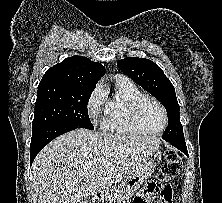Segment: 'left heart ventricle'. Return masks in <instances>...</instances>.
I'll return each instance as SVG.
<instances>
[{
  "instance_id": "b2bd125f",
  "label": "left heart ventricle",
  "mask_w": 222,
  "mask_h": 203,
  "mask_svg": "<svg viewBox=\"0 0 222 203\" xmlns=\"http://www.w3.org/2000/svg\"><path fill=\"white\" fill-rule=\"evenodd\" d=\"M140 116L146 128L158 131L164 124V117L161 109L151 101H147L141 108Z\"/></svg>"
}]
</instances>
